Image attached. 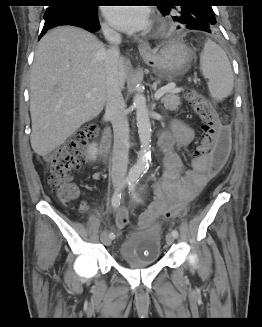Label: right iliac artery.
<instances>
[{
	"label": "right iliac artery",
	"instance_id": "obj_1",
	"mask_svg": "<svg viewBox=\"0 0 262 327\" xmlns=\"http://www.w3.org/2000/svg\"><path fill=\"white\" fill-rule=\"evenodd\" d=\"M133 180L132 177H126L119 185L118 189L115 191V193L113 194L112 196V200H111V203H112V206L113 208L117 209L119 206H120V200H121V191L122 189L126 186V185H129L130 182ZM109 237L111 239H114L115 238V234L113 232H111L109 234Z\"/></svg>",
	"mask_w": 262,
	"mask_h": 327
}]
</instances>
